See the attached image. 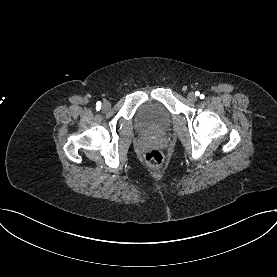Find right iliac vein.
I'll use <instances>...</instances> for the list:
<instances>
[{
  "label": "right iliac vein",
  "instance_id": "1",
  "mask_svg": "<svg viewBox=\"0 0 277 277\" xmlns=\"http://www.w3.org/2000/svg\"><path fill=\"white\" fill-rule=\"evenodd\" d=\"M110 107H111V105H110L109 102H104L103 105H102V109H103L104 111L109 110Z\"/></svg>",
  "mask_w": 277,
  "mask_h": 277
}]
</instances>
